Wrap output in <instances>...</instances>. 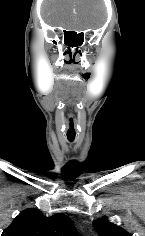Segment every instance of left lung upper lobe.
Masks as SVG:
<instances>
[{"label":"left lung upper lobe","mask_w":145,"mask_h":236,"mask_svg":"<svg viewBox=\"0 0 145 236\" xmlns=\"http://www.w3.org/2000/svg\"><path fill=\"white\" fill-rule=\"evenodd\" d=\"M93 226L100 236H132L126 230L109 223L106 218H100L94 221Z\"/></svg>","instance_id":"1"}]
</instances>
